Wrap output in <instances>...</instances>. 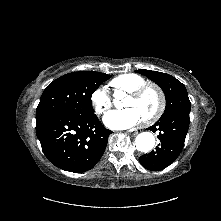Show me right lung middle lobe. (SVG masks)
<instances>
[{
  "mask_svg": "<svg viewBox=\"0 0 221 221\" xmlns=\"http://www.w3.org/2000/svg\"><path fill=\"white\" fill-rule=\"evenodd\" d=\"M110 77L95 71L72 72L54 80L43 92L36 122L61 113L93 115L91 96Z\"/></svg>",
  "mask_w": 221,
  "mask_h": 221,
  "instance_id": "dd1d6c3e",
  "label": "right lung middle lobe"
}]
</instances>
